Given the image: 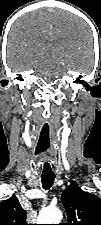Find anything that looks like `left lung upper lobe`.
Returning a JSON list of instances; mask_svg holds the SVG:
<instances>
[{
    "label": "left lung upper lobe",
    "instance_id": "obj_1",
    "mask_svg": "<svg viewBox=\"0 0 101 225\" xmlns=\"http://www.w3.org/2000/svg\"><path fill=\"white\" fill-rule=\"evenodd\" d=\"M62 203L68 216L65 225H101V200L71 183L62 193Z\"/></svg>",
    "mask_w": 101,
    "mask_h": 225
}]
</instances>
